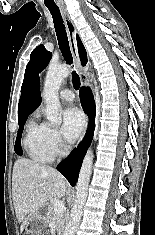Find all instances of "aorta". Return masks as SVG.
<instances>
[{"instance_id": "762f6f07", "label": "aorta", "mask_w": 155, "mask_h": 235, "mask_svg": "<svg viewBox=\"0 0 155 235\" xmlns=\"http://www.w3.org/2000/svg\"><path fill=\"white\" fill-rule=\"evenodd\" d=\"M69 73L70 67L67 65L50 66L47 71L42 97L46 104V118L53 125H59L61 123L58 91L62 81L69 75ZM92 165L93 152L91 149H89L80 169L76 187L75 204L72 208L70 219L65 227L63 235H74L75 230L81 220L83 207L87 199L88 186L92 173Z\"/></svg>"}]
</instances>
